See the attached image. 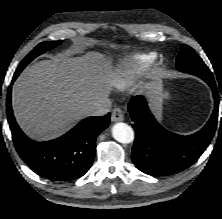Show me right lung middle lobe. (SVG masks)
Returning a JSON list of instances; mask_svg holds the SVG:
<instances>
[{"label":"right lung middle lobe","instance_id":"obj_1","mask_svg":"<svg viewBox=\"0 0 222 219\" xmlns=\"http://www.w3.org/2000/svg\"><path fill=\"white\" fill-rule=\"evenodd\" d=\"M59 44H61L60 41H45L38 44L20 63V65L16 70V73L20 74V72L25 68V66L29 62H31L35 57L39 56L40 54L44 53L46 50L53 48Z\"/></svg>","mask_w":222,"mask_h":219}]
</instances>
